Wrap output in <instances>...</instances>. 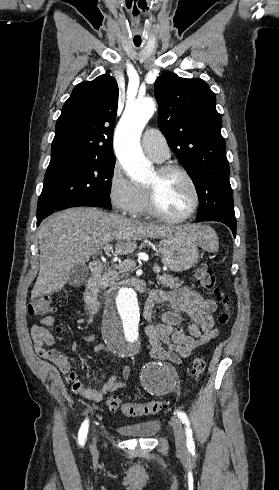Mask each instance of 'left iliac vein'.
Here are the masks:
<instances>
[{"label": "left iliac vein", "mask_w": 279, "mask_h": 490, "mask_svg": "<svg viewBox=\"0 0 279 490\" xmlns=\"http://www.w3.org/2000/svg\"><path fill=\"white\" fill-rule=\"evenodd\" d=\"M171 425L174 431L177 452L184 453L187 448H186L185 433H184L182 422L178 418H172Z\"/></svg>", "instance_id": "left-iliac-vein-1"}]
</instances>
